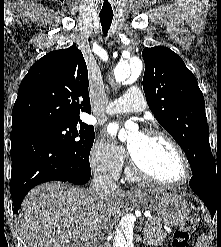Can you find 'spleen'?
Returning a JSON list of instances; mask_svg holds the SVG:
<instances>
[{
	"label": "spleen",
	"mask_w": 221,
	"mask_h": 247,
	"mask_svg": "<svg viewBox=\"0 0 221 247\" xmlns=\"http://www.w3.org/2000/svg\"><path fill=\"white\" fill-rule=\"evenodd\" d=\"M196 247H207V246L203 242V239H201V240H198V242L196 243Z\"/></svg>",
	"instance_id": "spleen-1"
}]
</instances>
